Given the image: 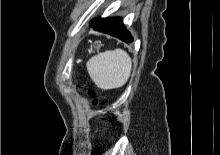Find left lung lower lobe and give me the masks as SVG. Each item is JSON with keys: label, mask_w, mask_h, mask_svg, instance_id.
<instances>
[{"label": "left lung lower lobe", "mask_w": 220, "mask_h": 155, "mask_svg": "<svg viewBox=\"0 0 220 155\" xmlns=\"http://www.w3.org/2000/svg\"><path fill=\"white\" fill-rule=\"evenodd\" d=\"M90 27L97 31L117 37L122 41L131 43L133 41L130 33L125 29L122 19L115 18H95L90 22Z\"/></svg>", "instance_id": "0a47b994"}]
</instances>
